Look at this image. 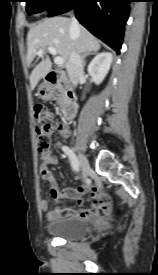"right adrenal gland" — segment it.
<instances>
[{
  "label": "right adrenal gland",
  "instance_id": "right-adrenal-gland-1",
  "mask_svg": "<svg viewBox=\"0 0 158 275\" xmlns=\"http://www.w3.org/2000/svg\"><path fill=\"white\" fill-rule=\"evenodd\" d=\"M97 54V52H86L84 53V55L82 56V59H83V65L85 66L86 65V58L90 55H95Z\"/></svg>",
  "mask_w": 158,
  "mask_h": 275
}]
</instances>
